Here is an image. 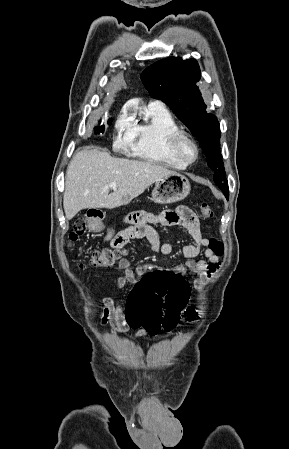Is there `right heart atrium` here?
<instances>
[{"label":"right heart atrium","instance_id":"right-heart-atrium-1","mask_svg":"<svg viewBox=\"0 0 289 449\" xmlns=\"http://www.w3.org/2000/svg\"><path fill=\"white\" fill-rule=\"evenodd\" d=\"M114 128L115 144L119 147L131 146L133 141V122L125 108L119 113Z\"/></svg>","mask_w":289,"mask_h":449}]
</instances>
